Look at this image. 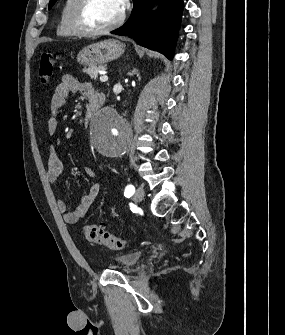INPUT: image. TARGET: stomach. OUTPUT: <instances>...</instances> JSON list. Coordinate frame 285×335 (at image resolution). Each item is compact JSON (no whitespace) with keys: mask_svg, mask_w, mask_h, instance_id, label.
<instances>
[{"mask_svg":"<svg viewBox=\"0 0 285 335\" xmlns=\"http://www.w3.org/2000/svg\"><path fill=\"white\" fill-rule=\"evenodd\" d=\"M125 52V44L119 40H104V42H96L90 44L77 54L78 64L82 66H105L107 62L117 60Z\"/></svg>","mask_w":285,"mask_h":335,"instance_id":"1","label":"stomach"}]
</instances>
